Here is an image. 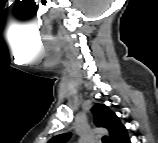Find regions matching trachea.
Here are the masks:
<instances>
[{
	"label": "trachea",
	"mask_w": 158,
	"mask_h": 143,
	"mask_svg": "<svg viewBox=\"0 0 158 143\" xmlns=\"http://www.w3.org/2000/svg\"><path fill=\"white\" fill-rule=\"evenodd\" d=\"M102 142H103V143H108L107 137L104 136V137L102 138Z\"/></svg>",
	"instance_id": "obj_1"
}]
</instances>
